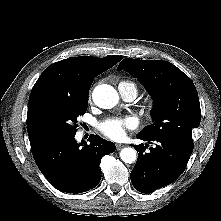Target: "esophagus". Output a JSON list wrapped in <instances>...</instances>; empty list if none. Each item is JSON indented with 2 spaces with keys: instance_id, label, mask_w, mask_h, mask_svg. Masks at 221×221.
Segmentation results:
<instances>
[{
  "instance_id": "obj_1",
  "label": "esophagus",
  "mask_w": 221,
  "mask_h": 221,
  "mask_svg": "<svg viewBox=\"0 0 221 221\" xmlns=\"http://www.w3.org/2000/svg\"><path fill=\"white\" fill-rule=\"evenodd\" d=\"M123 147H125L124 144H116V149L121 150Z\"/></svg>"
}]
</instances>
